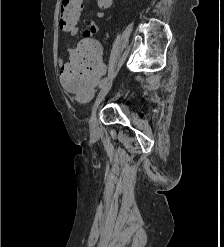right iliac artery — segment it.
<instances>
[{
    "mask_svg": "<svg viewBox=\"0 0 224 247\" xmlns=\"http://www.w3.org/2000/svg\"><path fill=\"white\" fill-rule=\"evenodd\" d=\"M108 81V78H104L101 82H100V85L99 87L102 88Z\"/></svg>",
    "mask_w": 224,
    "mask_h": 247,
    "instance_id": "obj_1",
    "label": "right iliac artery"
}]
</instances>
